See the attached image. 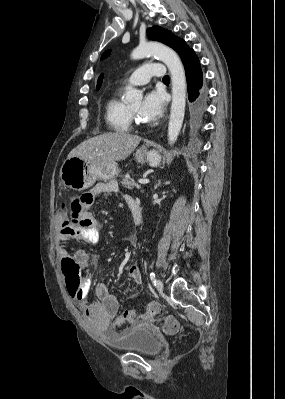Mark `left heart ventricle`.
Listing matches in <instances>:
<instances>
[{"mask_svg": "<svg viewBox=\"0 0 285 399\" xmlns=\"http://www.w3.org/2000/svg\"><path fill=\"white\" fill-rule=\"evenodd\" d=\"M140 106H141V104H140V102H138V103L132 105L130 108H131L134 112H136L137 115H139Z\"/></svg>", "mask_w": 285, "mask_h": 399, "instance_id": "obj_1", "label": "left heart ventricle"}]
</instances>
